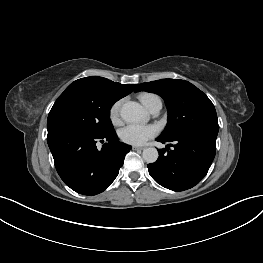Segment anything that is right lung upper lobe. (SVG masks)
Masks as SVG:
<instances>
[{
	"label": "right lung upper lobe",
	"mask_w": 263,
	"mask_h": 263,
	"mask_svg": "<svg viewBox=\"0 0 263 263\" xmlns=\"http://www.w3.org/2000/svg\"><path fill=\"white\" fill-rule=\"evenodd\" d=\"M76 83L93 87L97 90H100L108 94L109 96L117 100L130 94L137 86V84H120V83L113 82L109 79L98 77V76L81 78L73 82V84H76Z\"/></svg>",
	"instance_id": "cb5924a9"
}]
</instances>
